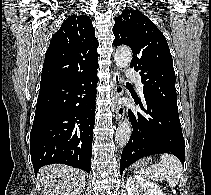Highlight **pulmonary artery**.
<instances>
[{
  "label": "pulmonary artery",
  "mask_w": 211,
  "mask_h": 195,
  "mask_svg": "<svg viewBox=\"0 0 211 195\" xmlns=\"http://www.w3.org/2000/svg\"><path fill=\"white\" fill-rule=\"evenodd\" d=\"M126 74L128 78L136 82L138 89L140 90V92H142L143 85L141 83L140 76L138 75V73L134 71L133 69L129 68L127 69Z\"/></svg>",
  "instance_id": "e3ab8cb5"
}]
</instances>
